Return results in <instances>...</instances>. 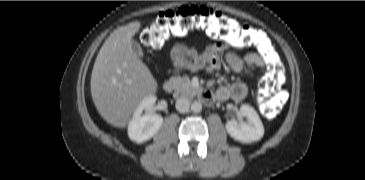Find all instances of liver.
<instances>
[{
	"instance_id": "obj_1",
	"label": "liver",
	"mask_w": 365,
	"mask_h": 180,
	"mask_svg": "<svg viewBox=\"0 0 365 180\" xmlns=\"http://www.w3.org/2000/svg\"><path fill=\"white\" fill-rule=\"evenodd\" d=\"M141 23L134 21L114 30L102 45L91 75V95L101 117L125 128L139 103L157 91L148 67L131 48Z\"/></svg>"
}]
</instances>
